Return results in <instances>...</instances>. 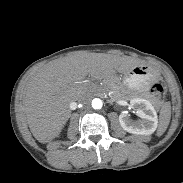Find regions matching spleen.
Masks as SVG:
<instances>
[{"instance_id": "spleen-1", "label": "spleen", "mask_w": 183, "mask_h": 183, "mask_svg": "<svg viewBox=\"0 0 183 183\" xmlns=\"http://www.w3.org/2000/svg\"><path fill=\"white\" fill-rule=\"evenodd\" d=\"M171 118V107L169 103L162 106L159 116V127L157 136H161L167 129Z\"/></svg>"}]
</instances>
